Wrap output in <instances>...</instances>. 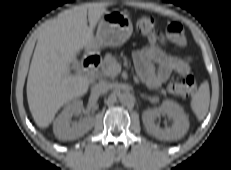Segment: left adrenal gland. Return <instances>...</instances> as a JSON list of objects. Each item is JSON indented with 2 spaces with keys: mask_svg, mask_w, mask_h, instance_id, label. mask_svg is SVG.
<instances>
[{
  "mask_svg": "<svg viewBox=\"0 0 231 170\" xmlns=\"http://www.w3.org/2000/svg\"><path fill=\"white\" fill-rule=\"evenodd\" d=\"M141 97H143V98H145V99H148V100H151L150 97H148V96H146V95H144V94H141Z\"/></svg>",
  "mask_w": 231,
  "mask_h": 170,
  "instance_id": "left-adrenal-gland-1",
  "label": "left adrenal gland"
}]
</instances>
